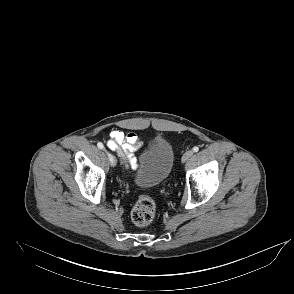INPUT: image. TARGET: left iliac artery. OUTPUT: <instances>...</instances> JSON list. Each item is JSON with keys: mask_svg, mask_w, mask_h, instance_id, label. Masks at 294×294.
Returning a JSON list of instances; mask_svg holds the SVG:
<instances>
[{"mask_svg": "<svg viewBox=\"0 0 294 294\" xmlns=\"http://www.w3.org/2000/svg\"><path fill=\"white\" fill-rule=\"evenodd\" d=\"M193 151H194V152H198V151H199V147L195 146V147L193 148Z\"/></svg>", "mask_w": 294, "mask_h": 294, "instance_id": "1", "label": "left iliac artery"}]
</instances>
